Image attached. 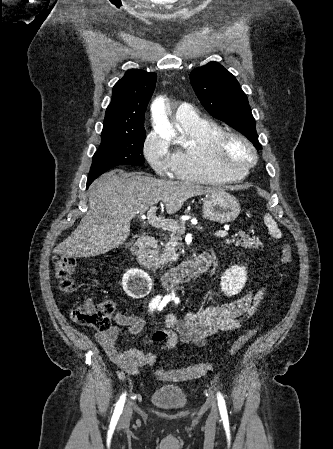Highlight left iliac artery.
Here are the masks:
<instances>
[{
  "mask_svg": "<svg viewBox=\"0 0 333 449\" xmlns=\"http://www.w3.org/2000/svg\"><path fill=\"white\" fill-rule=\"evenodd\" d=\"M217 399H218V407H219L221 416L223 419H227V410H226L225 400L220 392L217 393Z\"/></svg>",
  "mask_w": 333,
  "mask_h": 449,
  "instance_id": "obj_1",
  "label": "left iliac artery"
}]
</instances>
